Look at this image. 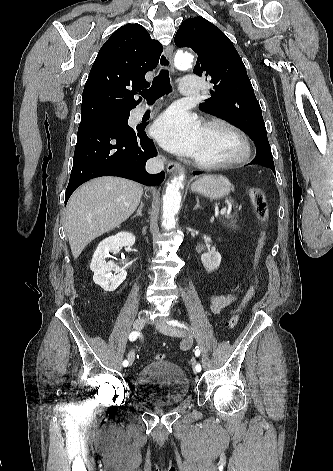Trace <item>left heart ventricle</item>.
<instances>
[{
    "mask_svg": "<svg viewBox=\"0 0 333 471\" xmlns=\"http://www.w3.org/2000/svg\"><path fill=\"white\" fill-rule=\"evenodd\" d=\"M236 151L237 143L226 130L219 127L203 128L195 157L205 161H217L233 156Z\"/></svg>",
    "mask_w": 333,
    "mask_h": 471,
    "instance_id": "b2bd125f",
    "label": "left heart ventricle"
}]
</instances>
